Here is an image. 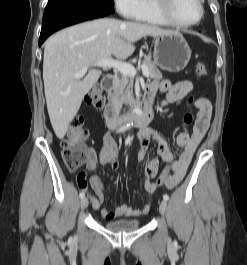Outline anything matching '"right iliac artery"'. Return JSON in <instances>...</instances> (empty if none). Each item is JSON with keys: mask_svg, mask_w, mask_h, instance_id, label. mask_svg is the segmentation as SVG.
<instances>
[{"mask_svg": "<svg viewBox=\"0 0 247 265\" xmlns=\"http://www.w3.org/2000/svg\"><path fill=\"white\" fill-rule=\"evenodd\" d=\"M128 127H129L128 125H127V126H123V127H121L118 131H119V132L124 131V130H126ZM79 197H80V198H84V197H85V193H84V192H80Z\"/></svg>", "mask_w": 247, "mask_h": 265, "instance_id": "82829eb1", "label": "right iliac artery"}]
</instances>
